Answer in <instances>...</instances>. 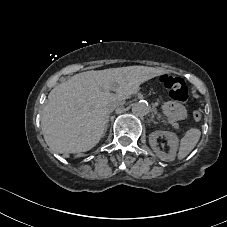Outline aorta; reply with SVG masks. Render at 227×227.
<instances>
[{"mask_svg": "<svg viewBox=\"0 0 227 227\" xmlns=\"http://www.w3.org/2000/svg\"><path fill=\"white\" fill-rule=\"evenodd\" d=\"M148 112H149V106L144 101L136 102L132 106V113L135 116L143 117V116L147 115Z\"/></svg>", "mask_w": 227, "mask_h": 227, "instance_id": "aorta-1", "label": "aorta"}]
</instances>
